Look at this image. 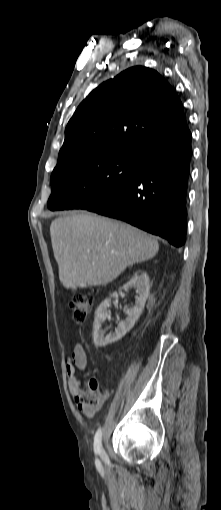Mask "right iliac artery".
Wrapping results in <instances>:
<instances>
[{
  "mask_svg": "<svg viewBox=\"0 0 221 510\" xmlns=\"http://www.w3.org/2000/svg\"><path fill=\"white\" fill-rule=\"evenodd\" d=\"M101 439L102 430L99 428L94 437V451L96 454L100 455L105 462H109L108 456L102 447Z\"/></svg>",
  "mask_w": 221,
  "mask_h": 510,
  "instance_id": "1",
  "label": "right iliac artery"
}]
</instances>
